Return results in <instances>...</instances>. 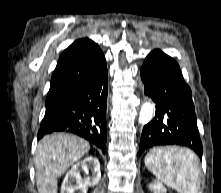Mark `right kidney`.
Returning a JSON list of instances; mask_svg holds the SVG:
<instances>
[{
    "label": "right kidney",
    "mask_w": 221,
    "mask_h": 193,
    "mask_svg": "<svg viewBox=\"0 0 221 193\" xmlns=\"http://www.w3.org/2000/svg\"><path fill=\"white\" fill-rule=\"evenodd\" d=\"M89 168L92 169V176L82 179L80 172L84 171L88 175ZM100 179L101 171L98 159L92 156L86 157L67 172L61 186V193H75L78 190L80 193H87L88 186H95Z\"/></svg>",
    "instance_id": "obj_1"
}]
</instances>
